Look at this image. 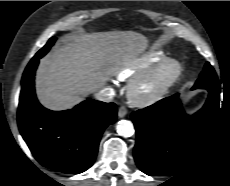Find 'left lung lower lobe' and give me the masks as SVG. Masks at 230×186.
<instances>
[{"mask_svg":"<svg viewBox=\"0 0 230 186\" xmlns=\"http://www.w3.org/2000/svg\"><path fill=\"white\" fill-rule=\"evenodd\" d=\"M200 88L207 89L209 96L203 108L192 116L184 113L179 94L132 113L137 133L134 158L145 174H176L211 134L219 115V85Z\"/></svg>","mask_w":230,"mask_h":186,"instance_id":"obj_1","label":"left lung lower lobe"}]
</instances>
